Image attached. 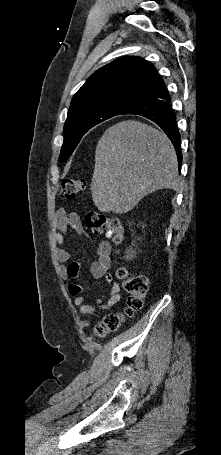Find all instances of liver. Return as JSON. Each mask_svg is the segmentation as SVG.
Here are the masks:
<instances>
[{
	"label": "liver",
	"mask_w": 221,
	"mask_h": 455,
	"mask_svg": "<svg viewBox=\"0 0 221 455\" xmlns=\"http://www.w3.org/2000/svg\"><path fill=\"white\" fill-rule=\"evenodd\" d=\"M178 185L177 156L165 133L125 120L99 139L91 194L101 212L127 213L147 194Z\"/></svg>",
	"instance_id": "liver-1"
}]
</instances>
